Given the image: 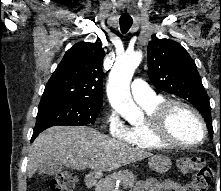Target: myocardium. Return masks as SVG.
Segmentation results:
<instances>
[{
	"instance_id": "1",
	"label": "myocardium",
	"mask_w": 221,
	"mask_h": 191,
	"mask_svg": "<svg viewBox=\"0 0 221 191\" xmlns=\"http://www.w3.org/2000/svg\"><path fill=\"white\" fill-rule=\"evenodd\" d=\"M185 110L195 117L201 130L202 138L196 143H187L176 139L171 128V119L177 110ZM152 136L161 145L166 147L194 148L202 145L207 138V126L202 115L191 105L180 100H167L160 103L149 118Z\"/></svg>"
}]
</instances>
